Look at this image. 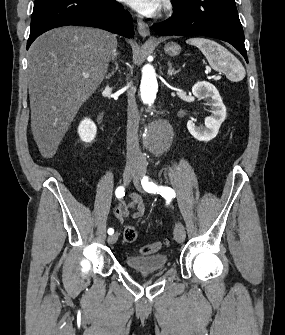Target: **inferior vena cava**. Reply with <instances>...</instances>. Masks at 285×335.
Instances as JSON below:
<instances>
[{
  "instance_id": "1",
  "label": "inferior vena cava",
  "mask_w": 285,
  "mask_h": 335,
  "mask_svg": "<svg viewBox=\"0 0 285 335\" xmlns=\"http://www.w3.org/2000/svg\"><path fill=\"white\" fill-rule=\"evenodd\" d=\"M116 52L114 50L113 56ZM127 162H143L145 160L139 148L138 128L140 116L135 100V90L130 88L127 92Z\"/></svg>"
}]
</instances>
